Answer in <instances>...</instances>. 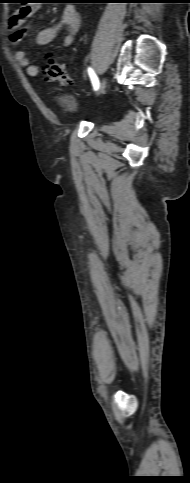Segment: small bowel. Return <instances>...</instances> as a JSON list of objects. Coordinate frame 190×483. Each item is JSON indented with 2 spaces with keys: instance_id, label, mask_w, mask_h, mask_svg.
<instances>
[{
  "instance_id": "obj_1",
  "label": "small bowel",
  "mask_w": 190,
  "mask_h": 483,
  "mask_svg": "<svg viewBox=\"0 0 190 483\" xmlns=\"http://www.w3.org/2000/svg\"><path fill=\"white\" fill-rule=\"evenodd\" d=\"M36 11L37 6L35 5H22L13 11L8 20L9 42L14 49V60L18 65L25 68L27 75L32 77L38 75L39 69L36 65L30 63L26 52L21 49L20 45L29 28L26 20L33 17ZM79 28L80 16L76 8L72 4H68L65 6L57 24L37 33L36 42L40 45L49 44L64 29L65 34L59 46L62 49L67 48L73 43Z\"/></svg>"
}]
</instances>
